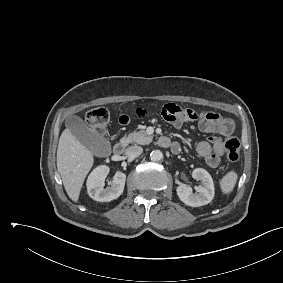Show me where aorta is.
<instances>
[{
    "mask_svg": "<svg viewBox=\"0 0 283 283\" xmlns=\"http://www.w3.org/2000/svg\"><path fill=\"white\" fill-rule=\"evenodd\" d=\"M151 161L158 162L163 159V153L160 150H153L150 153Z\"/></svg>",
    "mask_w": 283,
    "mask_h": 283,
    "instance_id": "aorta-1",
    "label": "aorta"
}]
</instances>
